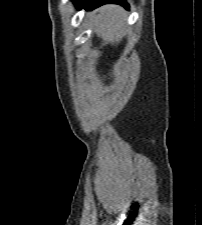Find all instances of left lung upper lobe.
Masks as SVG:
<instances>
[{
  "mask_svg": "<svg viewBox=\"0 0 202 225\" xmlns=\"http://www.w3.org/2000/svg\"><path fill=\"white\" fill-rule=\"evenodd\" d=\"M77 0H73V2L75 3Z\"/></svg>",
  "mask_w": 202,
  "mask_h": 225,
  "instance_id": "1",
  "label": "left lung upper lobe"
}]
</instances>
